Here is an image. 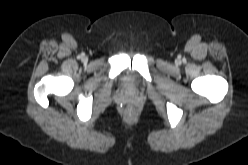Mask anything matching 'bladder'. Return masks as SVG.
<instances>
[{
	"label": "bladder",
	"mask_w": 248,
	"mask_h": 165,
	"mask_svg": "<svg viewBox=\"0 0 248 165\" xmlns=\"http://www.w3.org/2000/svg\"><path fill=\"white\" fill-rule=\"evenodd\" d=\"M125 86L128 90H135L136 86L131 78H127L125 81Z\"/></svg>",
	"instance_id": "1"
}]
</instances>
